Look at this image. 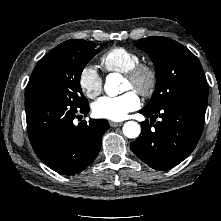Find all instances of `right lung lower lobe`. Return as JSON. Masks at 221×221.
<instances>
[{
    "label": "right lung lower lobe",
    "mask_w": 221,
    "mask_h": 221,
    "mask_svg": "<svg viewBox=\"0 0 221 221\" xmlns=\"http://www.w3.org/2000/svg\"><path fill=\"white\" fill-rule=\"evenodd\" d=\"M28 136L40 160L52 170L74 175L97 157L101 138L109 128L104 119H90L77 126L78 112L87 114L89 105L72 108L59 101L35 96L25 97Z\"/></svg>",
    "instance_id": "right-lung-lower-lobe-1"
}]
</instances>
